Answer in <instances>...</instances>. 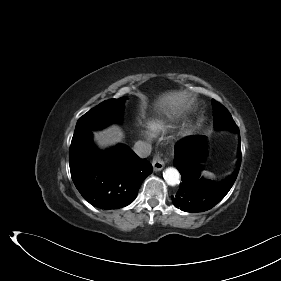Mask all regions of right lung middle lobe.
<instances>
[{
  "label": "right lung middle lobe",
  "mask_w": 281,
  "mask_h": 281,
  "mask_svg": "<svg viewBox=\"0 0 281 281\" xmlns=\"http://www.w3.org/2000/svg\"><path fill=\"white\" fill-rule=\"evenodd\" d=\"M124 100L125 97L107 100L88 111L77 121L73 136L85 131L104 128L111 123H118L121 120Z\"/></svg>",
  "instance_id": "obj_1"
}]
</instances>
